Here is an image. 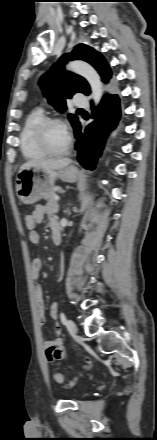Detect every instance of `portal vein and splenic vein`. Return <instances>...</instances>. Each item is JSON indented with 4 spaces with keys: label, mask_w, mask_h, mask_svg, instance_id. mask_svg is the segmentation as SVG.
I'll use <instances>...</instances> for the list:
<instances>
[{
    "label": "portal vein and splenic vein",
    "mask_w": 157,
    "mask_h": 440,
    "mask_svg": "<svg viewBox=\"0 0 157 440\" xmlns=\"http://www.w3.org/2000/svg\"><path fill=\"white\" fill-rule=\"evenodd\" d=\"M59 199H60V198H59L58 195H56V196L54 197V200H55V201H59Z\"/></svg>",
    "instance_id": "portal-vein-and-splenic-vein-1"
}]
</instances>
